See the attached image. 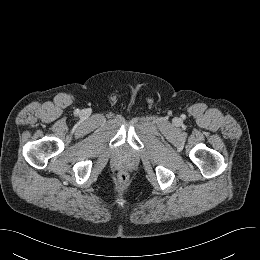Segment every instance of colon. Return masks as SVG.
Returning <instances> with one entry per match:
<instances>
[{
	"mask_svg": "<svg viewBox=\"0 0 260 260\" xmlns=\"http://www.w3.org/2000/svg\"><path fill=\"white\" fill-rule=\"evenodd\" d=\"M119 180H120L121 182H125V181L127 180V175H126L124 172H121V173L119 174Z\"/></svg>",
	"mask_w": 260,
	"mask_h": 260,
	"instance_id": "obj_1",
	"label": "colon"
}]
</instances>
